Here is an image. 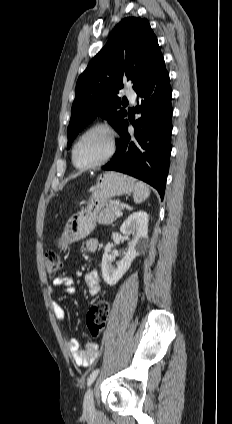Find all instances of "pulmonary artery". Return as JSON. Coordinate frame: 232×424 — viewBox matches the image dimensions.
<instances>
[{"instance_id":"pulmonary-artery-1","label":"pulmonary artery","mask_w":232,"mask_h":424,"mask_svg":"<svg viewBox=\"0 0 232 424\" xmlns=\"http://www.w3.org/2000/svg\"><path fill=\"white\" fill-rule=\"evenodd\" d=\"M126 94H127V97L132 101V102H134L135 101V99H136V93L132 90V89H128L127 90V92H126Z\"/></svg>"}]
</instances>
